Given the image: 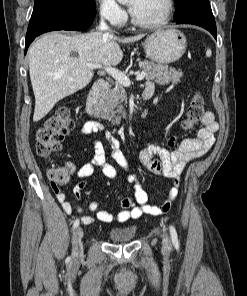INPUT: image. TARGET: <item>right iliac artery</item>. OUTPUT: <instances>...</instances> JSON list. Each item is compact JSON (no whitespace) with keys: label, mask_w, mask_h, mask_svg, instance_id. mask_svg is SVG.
Masks as SVG:
<instances>
[{"label":"right iliac artery","mask_w":247,"mask_h":296,"mask_svg":"<svg viewBox=\"0 0 247 296\" xmlns=\"http://www.w3.org/2000/svg\"><path fill=\"white\" fill-rule=\"evenodd\" d=\"M78 226H79V220L77 219V220L74 221L73 228L75 229Z\"/></svg>","instance_id":"right-iliac-artery-1"}]
</instances>
